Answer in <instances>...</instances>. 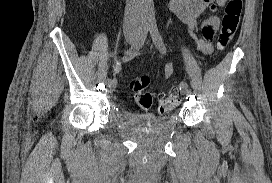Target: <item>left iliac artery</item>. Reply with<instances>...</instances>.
<instances>
[{
  "instance_id": "44dca946",
  "label": "left iliac artery",
  "mask_w": 272,
  "mask_h": 183,
  "mask_svg": "<svg viewBox=\"0 0 272 183\" xmlns=\"http://www.w3.org/2000/svg\"><path fill=\"white\" fill-rule=\"evenodd\" d=\"M151 37L153 39V42L155 44V46L157 47V49L162 53L165 54L166 53V46L162 40V37L158 31L157 25L155 23H151L150 24V28H149ZM180 90H183L185 88H188V84L184 81L180 82L179 84Z\"/></svg>"
}]
</instances>
